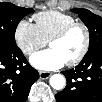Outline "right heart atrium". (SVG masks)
Returning a JSON list of instances; mask_svg holds the SVG:
<instances>
[{
    "label": "right heart atrium",
    "instance_id": "right-heart-atrium-1",
    "mask_svg": "<svg viewBox=\"0 0 102 102\" xmlns=\"http://www.w3.org/2000/svg\"><path fill=\"white\" fill-rule=\"evenodd\" d=\"M14 38L17 46L25 55H30L47 43L40 35L35 24L27 19H21L17 23Z\"/></svg>",
    "mask_w": 102,
    "mask_h": 102
}]
</instances>
